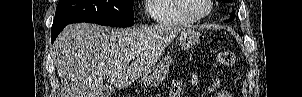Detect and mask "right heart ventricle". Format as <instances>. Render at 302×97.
I'll return each instance as SVG.
<instances>
[{
	"mask_svg": "<svg viewBox=\"0 0 302 97\" xmlns=\"http://www.w3.org/2000/svg\"><path fill=\"white\" fill-rule=\"evenodd\" d=\"M146 10L153 22L161 26H189L193 23L181 14L177 0H148Z\"/></svg>",
	"mask_w": 302,
	"mask_h": 97,
	"instance_id": "obj_1",
	"label": "right heart ventricle"
}]
</instances>
